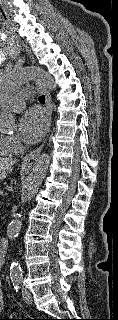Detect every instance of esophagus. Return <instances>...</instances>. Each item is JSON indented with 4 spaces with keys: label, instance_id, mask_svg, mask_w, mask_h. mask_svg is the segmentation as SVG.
I'll list each match as a JSON object with an SVG mask.
<instances>
[{
    "label": "esophagus",
    "instance_id": "esophagus-1",
    "mask_svg": "<svg viewBox=\"0 0 118 320\" xmlns=\"http://www.w3.org/2000/svg\"><path fill=\"white\" fill-rule=\"evenodd\" d=\"M25 49L30 54L29 49H28L27 46H25ZM30 57L32 59V62L34 63L35 60H34L33 56L30 55ZM36 87L45 96V104H46V108H47L48 115H49V126H50L51 125V116H52L51 95H50L49 91L44 86H42L39 82H36ZM44 144H45V141L41 146H39L37 149H35L32 152H30L29 154H27L23 158V162H22L23 168H32L35 165V163L37 161V158L40 155V153H41V151H42V149L44 147Z\"/></svg>",
    "mask_w": 118,
    "mask_h": 320
}]
</instances>
